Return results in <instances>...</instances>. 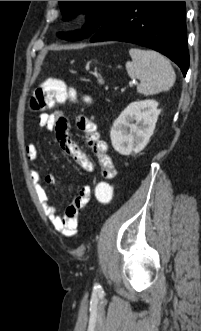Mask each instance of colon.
<instances>
[{
	"label": "colon",
	"mask_w": 201,
	"mask_h": 331,
	"mask_svg": "<svg viewBox=\"0 0 201 331\" xmlns=\"http://www.w3.org/2000/svg\"><path fill=\"white\" fill-rule=\"evenodd\" d=\"M77 97L75 89L67 86L63 81L49 78L43 81L34 91L31 98V108L42 111L52 108L56 104L66 101H75ZM113 198V187L107 180H101L95 187V199L102 205L107 206Z\"/></svg>",
	"instance_id": "obj_1"
}]
</instances>
